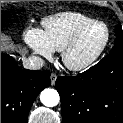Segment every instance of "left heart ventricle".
<instances>
[{"instance_id":"obj_1","label":"left heart ventricle","mask_w":123,"mask_h":123,"mask_svg":"<svg viewBox=\"0 0 123 123\" xmlns=\"http://www.w3.org/2000/svg\"><path fill=\"white\" fill-rule=\"evenodd\" d=\"M105 37L106 31L103 26H93L85 32L77 45L71 51L69 60L75 64L87 61L98 51L103 44Z\"/></svg>"}]
</instances>
